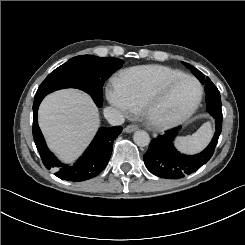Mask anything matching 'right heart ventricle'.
Segmentation results:
<instances>
[{"instance_id": "e07e8e85", "label": "right heart ventricle", "mask_w": 245, "mask_h": 245, "mask_svg": "<svg viewBox=\"0 0 245 245\" xmlns=\"http://www.w3.org/2000/svg\"><path fill=\"white\" fill-rule=\"evenodd\" d=\"M178 70L164 66H143L132 69L127 76L114 83V90L133 108L142 106L147 90L159 79L183 76Z\"/></svg>"}]
</instances>
